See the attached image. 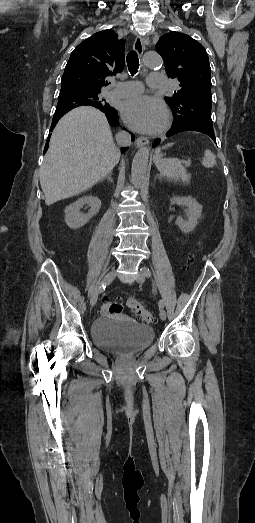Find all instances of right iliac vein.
Returning a JSON list of instances; mask_svg holds the SVG:
<instances>
[{"instance_id":"obj_1","label":"right iliac vein","mask_w":255,"mask_h":523,"mask_svg":"<svg viewBox=\"0 0 255 523\" xmlns=\"http://www.w3.org/2000/svg\"><path fill=\"white\" fill-rule=\"evenodd\" d=\"M115 276H116V271L115 270L110 271L108 274H106V276L102 280L101 285L102 284L106 285L107 283L112 282L113 279L115 278ZM100 286L95 290V292L93 293V295H92V297L90 299V304L92 306H94L96 304L97 300H98L99 293L101 292Z\"/></svg>"}]
</instances>
